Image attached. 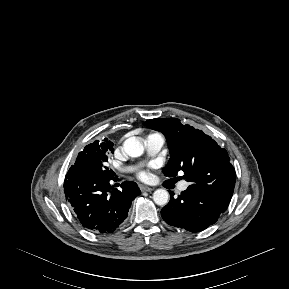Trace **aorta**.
<instances>
[{"label":"aorta","instance_id":"obj_1","mask_svg":"<svg viewBox=\"0 0 289 289\" xmlns=\"http://www.w3.org/2000/svg\"><path fill=\"white\" fill-rule=\"evenodd\" d=\"M123 148L130 157H139L144 151L143 143L135 137L126 139L123 143ZM153 200L157 205L165 206L169 201V194L165 189H157L153 193Z\"/></svg>","mask_w":289,"mask_h":289}]
</instances>
